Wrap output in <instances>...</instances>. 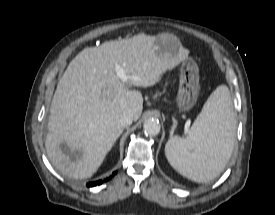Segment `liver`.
<instances>
[{"label": "liver", "instance_id": "liver-1", "mask_svg": "<svg viewBox=\"0 0 275 215\" xmlns=\"http://www.w3.org/2000/svg\"><path fill=\"white\" fill-rule=\"evenodd\" d=\"M157 36L138 34L128 39L85 48L68 65L50 106L45 148L51 163L63 174L91 177L123 132L118 118L126 111L138 120L143 110L140 91L128 86L150 87L161 76L188 59L181 48L174 57L158 56ZM129 76L122 82L115 66ZM66 143L68 151L60 145Z\"/></svg>", "mask_w": 275, "mask_h": 215}]
</instances>
